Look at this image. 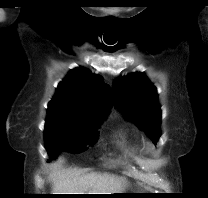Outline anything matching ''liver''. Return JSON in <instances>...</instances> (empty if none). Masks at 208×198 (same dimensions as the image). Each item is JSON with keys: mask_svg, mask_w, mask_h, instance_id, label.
Here are the masks:
<instances>
[{"mask_svg": "<svg viewBox=\"0 0 208 198\" xmlns=\"http://www.w3.org/2000/svg\"><path fill=\"white\" fill-rule=\"evenodd\" d=\"M63 163L59 158L51 165L50 176L53 179L52 188L55 194H113L125 191V178L108 173L81 174L72 169L58 167Z\"/></svg>", "mask_w": 208, "mask_h": 198, "instance_id": "liver-1", "label": "liver"}]
</instances>
